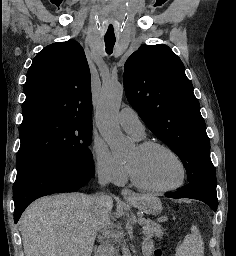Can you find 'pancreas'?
I'll return each mask as SVG.
<instances>
[{
    "mask_svg": "<svg viewBox=\"0 0 236 256\" xmlns=\"http://www.w3.org/2000/svg\"><path fill=\"white\" fill-rule=\"evenodd\" d=\"M112 226H107L106 234L108 238L111 236ZM143 234H145L146 238H143V243H148V238H161V236H165L166 232L161 230L160 224H155L152 220H144L143 222ZM102 241H105V238H102ZM107 248L113 250V244H108ZM106 253H109V250H106Z\"/></svg>",
    "mask_w": 236,
    "mask_h": 256,
    "instance_id": "pancreas-1",
    "label": "pancreas"
}]
</instances>
